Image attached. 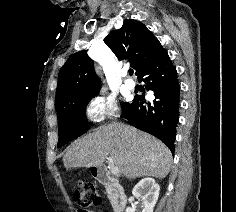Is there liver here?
Instances as JSON below:
<instances>
[{
  "label": "liver",
  "instance_id": "liver-1",
  "mask_svg": "<svg viewBox=\"0 0 236 212\" xmlns=\"http://www.w3.org/2000/svg\"><path fill=\"white\" fill-rule=\"evenodd\" d=\"M127 178H165L171 167L170 150L157 138L130 125L113 122L75 140L63 157L64 167H101L107 158Z\"/></svg>",
  "mask_w": 236,
  "mask_h": 212
}]
</instances>
